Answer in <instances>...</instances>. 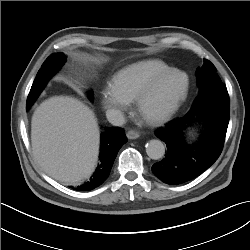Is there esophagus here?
<instances>
[{"label":"esophagus","instance_id":"obj_1","mask_svg":"<svg viewBox=\"0 0 250 250\" xmlns=\"http://www.w3.org/2000/svg\"><path fill=\"white\" fill-rule=\"evenodd\" d=\"M126 136L128 139H137L140 136V134L135 130H129L126 133Z\"/></svg>","mask_w":250,"mask_h":250}]
</instances>
